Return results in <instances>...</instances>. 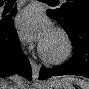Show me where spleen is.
Segmentation results:
<instances>
[{"label": "spleen", "instance_id": "spleen-1", "mask_svg": "<svg viewBox=\"0 0 89 89\" xmlns=\"http://www.w3.org/2000/svg\"><path fill=\"white\" fill-rule=\"evenodd\" d=\"M64 80L78 84L81 87V89H89V83L84 80L77 79L74 77H67Z\"/></svg>", "mask_w": 89, "mask_h": 89}]
</instances>
